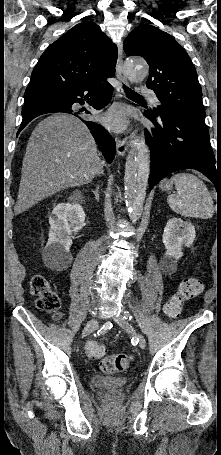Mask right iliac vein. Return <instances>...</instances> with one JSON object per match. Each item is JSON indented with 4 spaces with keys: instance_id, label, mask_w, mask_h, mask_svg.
<instances>
[{
    "instance_id": "obj_1",
    "label": "right iliac vein",
    "mask_w": 221,
    "mask_h": 455,
    "mask_svg": "<svg viewBox=\"0 0 221 455\" xmlns=\"http://www.w3.org/2000/svg\"><path fill=\"white\" fill-rule=\"evenodd\" d=\"M98 327V322L95 318L90 319L87 324L85 325L82 336L89 335L92 331H94Z\"/></svg>"
}]
</instances>
